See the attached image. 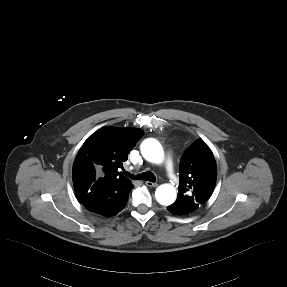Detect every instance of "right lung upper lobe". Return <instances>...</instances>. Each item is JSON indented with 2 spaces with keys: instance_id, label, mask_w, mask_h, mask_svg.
Instances as JSON below:
<instances>
[{
  "instance_id": "right-lung-upper-lobe-1",
  "label": "right lung upper lobe",
  "mask_w": 287,
  "mask_h": 287,
  "mask_svg": "<svg viewBox=\"0 0 287 287\" xmlns=\"http://www.w3.org/2000/svg\"><path fill=\"white\" fill-rule=\"evenodd\" d=\"M142 135L136 128L103 127L84 142L73 164V184L80 203L93 185H132L120 169Z\"/></svg>"
}]
</instances>
